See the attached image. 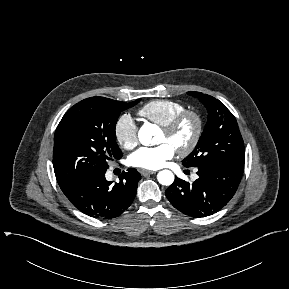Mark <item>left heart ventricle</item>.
Masks as SVG:
<instances>
[{
	"label": "left heart ventricle",
	"mask_w": 289,
	"mask_h": 289,
	"mask_svg": "<svg viewBox=\"0 0 289 289\" xmlns=\"http://www.w3.org/2000/svg\"><path fill=\"white\" fill-rule=\"evenodd\" d=\"M195 130V123L192 119H187L180 128L171 136L161 131L158 143H168L175 149L184 147L191 140Z\"/></svg>",
	"instance_id": "obj_1"
}]
</instances>
